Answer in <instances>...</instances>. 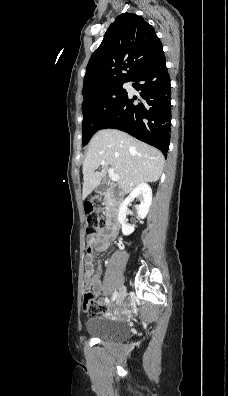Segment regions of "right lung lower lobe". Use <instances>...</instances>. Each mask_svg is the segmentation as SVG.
<instances>
[{
  "label": "right lung lower lobe",
  "mask_w": 228,
  "mask_h": 396,
  "mask_svg": "<svg viewBox=\"0 0 228 396\" xmlns=\"http://www.w3.org/2000/svg\"><path fill=\"white\" fill-rule=\"evenodd\" d=\"M142 102L126 96L101 129L113 128L158 148L166 157L170 143V78L162 45L132 80Z\"/></svg>",
  "instance_id": "obj_1"
}]
</instances>
